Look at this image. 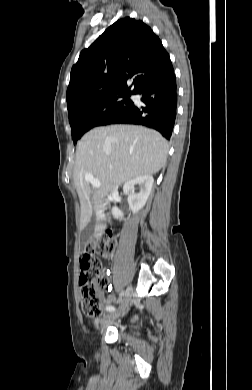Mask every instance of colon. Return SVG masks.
<instances>
[{
  "mask_svg": "<svg viewBox=\"0 0 252 390\" xmlns=\"http://www.w3.org/2000/svg\"><path fill=\"white\" fill-rule=\"evenodd\" d=\"M115 237L108 233L90 242L80 259L79 285L82 295V309L85 315L99 318L102 315L99 287L104 285L101 278V258L109 257L115 249Z\"/></svg>",
  "mask_w": 252,
  "mask_h": 390,
  "instance_id": "colon-1",
  "label": "colon"
}]
</instances>
